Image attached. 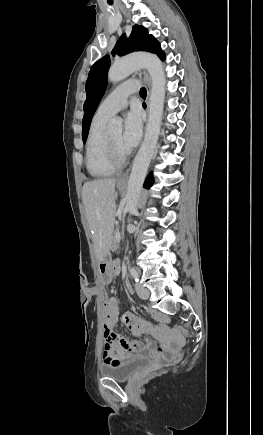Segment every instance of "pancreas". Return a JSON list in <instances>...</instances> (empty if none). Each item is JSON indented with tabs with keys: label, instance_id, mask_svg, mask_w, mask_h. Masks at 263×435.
Wrapping results in <instances>:
<instances>
[{
	"label": "pancreas",
	"instance_id": "cf45deb5",
	"mask_svg": "<svg viewBox=\"0 0 263 435\" xmlns=\"http://www.w3.org/2000/svg\"><path fill=\"white\" fill-rule=\"evenodd\" d=\"M118 232V230H115L114 231V247H116V246H118V244H119V242H118V240L116 239V237H115V235H116V233Z\"/></svg>",
	"mask_w": 263,
	"mask_h": 435
}]
</instances>
